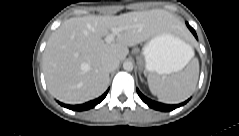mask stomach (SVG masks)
<instances>
[{
    "mask_svg": "<svg viewBox=\"0 0 239 136\" xmlns=\"http://www.w3.org/2000/svg\"><path fill=\"white\" fill-rule=\"evenodd\" d=\"M191 49L176 31L162 30L144 45L140 65L150 74L178 72L186 66Z\"/></svg>",
    "mask_w": 239,
    "mask_h": 136,
    "instance_id": "0dacf381",
    "label": "stomach"
}]
</instances>
